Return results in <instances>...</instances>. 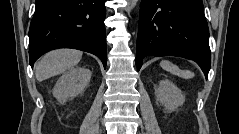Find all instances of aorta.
Instances as JSON below:
<instances>
[{"label": "aorta", "mask_w": 239, "mask_h": 134, "mask_svg": "<svg viewBox=\"0 0 239 134\" xmlns=\"http://www.w3.org/2000/svg\"><path fill=\"white\" fill-rule=\"evenodd\" d=\"M138 0H129L128 6L126 8L127 12H130L137 4Z\"/></svg>", "instance_id": "aorta-1"}]
</instances>
